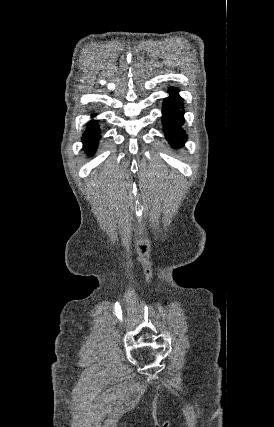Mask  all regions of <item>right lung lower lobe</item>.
<instances>
[{"mask_svg": "<svg viewBox=\"0 0 274 427\" xmlns=\"http://www.w3.org/2000/svg\"><path fill=\"white\" fill-rule=\"evenodd\" d=\"M100 137V131L96 122H91L83 136L84 147L89 154H92L97 146Z\"/></svg>", "mask_w": 274, "mask_h": 427, "instance_id": "98d812e1", "label": "right lung lower lobe"}]
</instances>
